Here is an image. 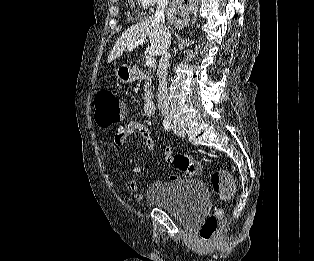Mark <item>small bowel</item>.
Segmentation results:
<instances>
[{
    "label": "small bowel",
    "instance_id": "c3829d8e",
    "mask_svg": "<svg viewBox=\"0 0 314 261\" xmlns=\"http://www.w3.org/2000/svg\"><path fill=\"white\" fill-rule=\"evenodd\" d=\"M140 135L144 141V145L148 151H153L155 147V143L151 132L149 129L142 123L136 121H129L124 123L123 125L119 126L116 131V134H112V139L119 145L125 144L133 135ZM172 155V150L170 147H167L165 151V157ZM133 173H138L140 171L139 167L133 166L131 168ZM129 189L135 192L136 200H141L143 198V194L139 192V182L135 179L129 181Z\"/></svg>",
    "mask_w": 314,
    "mask_h": 261
}]
</instances>
